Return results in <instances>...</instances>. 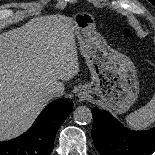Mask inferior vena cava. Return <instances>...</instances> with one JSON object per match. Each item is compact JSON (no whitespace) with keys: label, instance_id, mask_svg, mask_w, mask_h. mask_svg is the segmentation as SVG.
I'll list each match as a JSON object with an SVG mask.
<instances>
[{"label":"inferior vena cava","instance_id":"602c4592","mask_svg":"<svg viewBox=\"0 0 155 155\" xmlns=\"http://www.w3.org/2000/svg\"><path fill=\"white\" fill-rule=\"evenodd\" d=\"M64 89L58 85H51L45 88L43 95L47 99H53L63 94Z\"/></svg>","mask_w":155,"mask_h":155}]
</instances>
